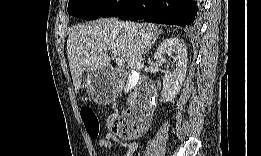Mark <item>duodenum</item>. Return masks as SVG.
<instances>
[{
  "label": "duodenum",
  "instance_id": "1",
  "mask_svg": "<svg viewBox=\"0 0 261 156\" xmlns=\"http://www.w3.org/2000/svg\"><path fill=\"white\" fill-rule=\"evenodd\" d=\"M116 75L120 79L126 77L123 70H116ZM141 87L137 97L132 101V109L129 113V122L131 125H137L141 122L148 121L154 114V100L156 98V91L154 86L146 80H142Z\"/></svg>",
  "mask_w": 261,
  "mask_h": 156
}]
</instances>
